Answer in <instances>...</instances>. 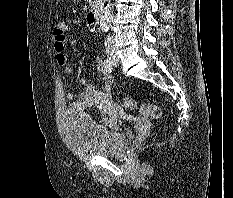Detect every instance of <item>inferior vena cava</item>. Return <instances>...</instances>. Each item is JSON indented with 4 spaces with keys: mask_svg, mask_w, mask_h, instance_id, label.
Returning a JSON list of instances; mask_svg holds the SVG:
<instances>
[{
    "mask_svg": "<svg viewBox=\"0 0 233 198\" xmlns=\"http://www.w3.org/2000/svg\"><path fill=\"white\" fill-rule=\"evenodd\" d=\"M105 48L106 51H111L115 48L113 38L110 35L105 39Z\"/></svg>",
    "mask_w": 233,
    "mask_h": 198,
    "instance_id": "inferior-vena-cava-1",
    "label": "inferior vena cava"
}]
</instances>
